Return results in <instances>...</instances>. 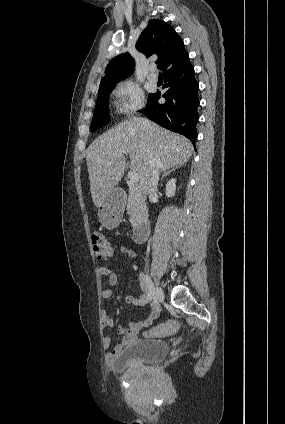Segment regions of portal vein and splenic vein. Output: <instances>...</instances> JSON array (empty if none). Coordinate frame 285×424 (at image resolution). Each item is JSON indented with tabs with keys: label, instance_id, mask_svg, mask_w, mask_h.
I'll list each match as a JSON object with an SVG mask.
<instances>
[{
	"label": "portal vein and splenic vein",
	"instance_id": "obj_1",
	"mask_svg": "<svg viewBox=\"0 0 285 424\" xmlns=\"http://www.w3.org/2000/svg\"><path fill=\"white\" fill-rule=\"evenodd\" d=\"M122 153H123V154H127V153H125V152H122ZM128 177H129L130 185H135V184H137V183H138L139 175H138V173H137V172H135V171H131V172H129Z\"/></svg>",
	"mask_w": 285,
	"mask_h": 424
}]
</instances>
